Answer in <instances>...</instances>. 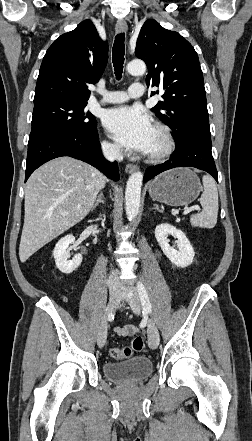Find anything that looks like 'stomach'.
<instances>
[{"instance_id": "1", "label": "stomach", "mask_w": 252, "mask_h": 441, "mask_svg": "<svg viewBox=\"0 0 252 441\" xmlns=\"http://www.w3.org/2000/svg\"><path fill=\"white\" fill-rule=\"evenodd\" d=\"M202 187L197 175L188 168H175L157 176L149 185L150 197L171 206L193 202Z\"/></svg>"}]
</instances>
